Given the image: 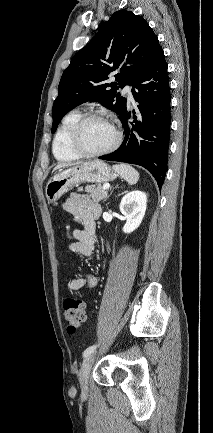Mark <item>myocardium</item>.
<instances>
[{
  "label": "myocardium",
  "mask_w": 213,
  "mask_h": 433,
  "mask_svg": "<svg viewBox=\"0 0 213 433\" xmlns=\"http://www.w3.org/2000/svg\"><path fill=\"white\" fill-rule=\"evenodd\" d=\"M94 119L103 120V121L107 122L113 128V130L115 132V140L111 146H109L108 148H106L102 151L90 152V151L85 150L83 148V146L81 145L80 136H81V131H82L84 125L88 121L94 120ZM121 141H122V133H121L120 129L118 128V126L116 125V123L110 117L105 115L104 113L96 112V111L87 112V113L81 115L78 118V120L75 122V124L73 125L71 132H70V146H71L72 150L75 153H77L80 157H85V158L100 157V156H104V155H107L109 153H112L113 151H115L120 146Z\"/></svg>",
  "instance_id": "myocardium-1"
}]
</instances>
